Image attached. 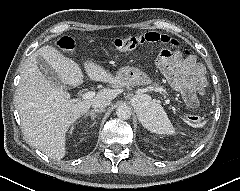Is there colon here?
<instances>
[{
  "mask_svg": "<svg viewBox=\"0 0 240 191\" xmlns=\"http://www.w3.org/2000/svg\"><path fill=\"white\" fill-rule=\"evenodd\" d=\"M145 43H160L167 45L170 48H176L179 46L178 42L169 36L157 32H148L144 35L117 38L114 41V48L117 51H132ZM57 46L66 52H73L75 49V43L73 39L68 36L61 37L57 42ZM183 53L186 57L192 56L191 53L186 49L183 50ZM171 56L172 51L170 49L161 51L159 57V66L162 69L166 68V62L171 58ZM187 120L189 123L197 125L202 122L203 117L199 113H190L187 115Z\"/></svg>",
  "mask_w": 240,
  "mask_h": 191,
  "instance_id": "1",
  "label": "colon"
}]
</instances>
